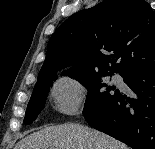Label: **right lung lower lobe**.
<instances>
[{
    "instance_id": "98d812e1",
    "label": "right lung lower lobe",
    "mask_w": 155,
    "mask_h": 149,
    "mask_svg": "<svg viewBox=\"0 0 155 149\" xmlns=\"http://www.w3.org/2000/svg\"><path fill=\"white\" fill-rule=\"evenodd\" d=\"M122 77L134 95L119 93L98 113L85 118L90 126L134 149H155V66Z\"/></svg>"
}]
</instances>
